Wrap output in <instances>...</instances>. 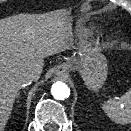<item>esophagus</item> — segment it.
Wrapping results in <instances>:
<instances>
[{"label":"esophagus","instance_id":"obj_1","mask_svg":"<svg viewBox=\"0 0 131 131\" xmlns=\"http://www.w3.org/2000/svg\"><path fill=\"white\" fill-rule=\"evenodd\" d=\"M69 69H70L69 64H62L61 66L58 67L56 74L58 76H65L68 74Z\"/></svg>","mask_w":131,"mask_h":131}]
</instances>
